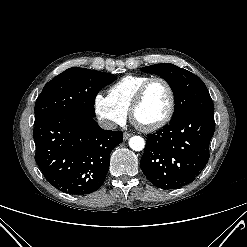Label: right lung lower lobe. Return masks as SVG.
I'll list each match as a JSON object with an SVG mask.
<instances>
[{
  "label": "right lung lower lobe",
  "instance_id": "98d812e1",
  "mask_svg": "<svg viewBox=\"0 0 247 247\" xmlns=\"http://www.w3.org/2000/svg\"><path fill=\"white\" fill-rule=\"evenodd\" d=\"M35 160L57 189L86 195L100 188L121 131L103 130L91 117L58 114L35 121Z\"/></svg>",
  "mask_w": 247,
  "mask_h": 247
}]
</instances>
